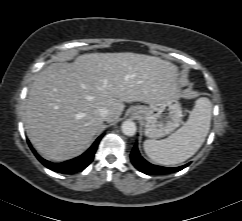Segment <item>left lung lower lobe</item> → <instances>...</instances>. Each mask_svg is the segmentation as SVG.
Returning a JSON list of instances; mask_svg holds the SVG:
<instances>
[{"mask_svg":"<svg viewBox=\"0 0 242 221\" xmlns=\"http://www.w3.org/2000/svg\"><path fill=\"white\" fill-rule=\"evenodd\" d=\"M130 158L133 165L139 171L147 175L168 174V173L178 172L188 166V164H186L180 167L169 168V167H161V166L150 164L149 162H147L145 159L142 158V156L138 151L137 145L134 146L131 152Z\"/></svg>","mask_w":242,"mask_h":221,"instance_id":"1","label":"left lung lower lobe"}]
</instances>
